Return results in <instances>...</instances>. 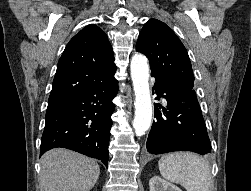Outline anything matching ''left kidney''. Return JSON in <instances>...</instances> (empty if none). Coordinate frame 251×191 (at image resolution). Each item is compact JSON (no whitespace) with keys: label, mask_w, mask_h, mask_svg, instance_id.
Here are the masks:
<instances>
[{"label":"left kidney","mask_w":251,"mask_h":191,"mask_svg":"<svg viewBox=\"0 0 251 191\" xmlns=\"http://www.w3.org/2000/svg\"><path fill=\"white\" fill-rule=\"evenodd\" d=\"M150 191H182L180 187L171 183V181H166L162 179L159 175H153L149 181Z\"/></svg>","instance_id":"1"}]
</instances>
